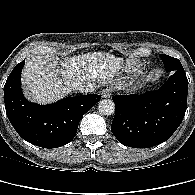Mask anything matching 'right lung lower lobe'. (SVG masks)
I'll return each instance as SVG.
<instances>
[{
	"mask_svg": "<svg viewBox=\"0 0 195 195\" xmlns=\"http://www.w3.org/2000/svg\"><path fill=\"white\" fill-rule=\"evenodd\" d=\"M25 61L18 63L4 86L5 109L16 132L27 142L43 148H57L75 136L82 116L100 99V95L64 98L51 105L29 102L21 89V71Z\"/></svg>",
	"mask_w": 195,
	"mask_h": 195,
	"instance_id": "98d812e1",
	"label": "right lung lower lobe"
}]
</instances>
